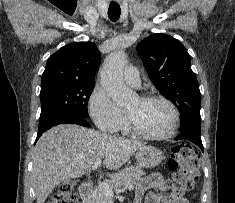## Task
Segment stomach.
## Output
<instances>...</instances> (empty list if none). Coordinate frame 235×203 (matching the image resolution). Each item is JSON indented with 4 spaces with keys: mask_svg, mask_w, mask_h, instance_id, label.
<instances>
[{
    "mask_svg": "<svg viewBox=\"0 0 235 203\" xmlns=\"http://www.w3.org/2000/svg\"><path fill=\"white\" fill-rule=\"evenodd\" d=\"M136 159L140 166L151 168L162 162L164 154L153 146H144L136 151Z\"/></svg>",
    "mask_w": 235,
    "mask_h": 203,
    "instance_id": "obj_1",
    "label": "stomach"
}]
</instances>
